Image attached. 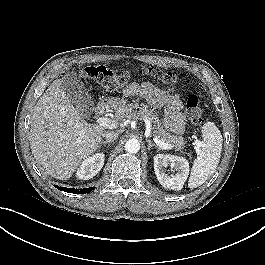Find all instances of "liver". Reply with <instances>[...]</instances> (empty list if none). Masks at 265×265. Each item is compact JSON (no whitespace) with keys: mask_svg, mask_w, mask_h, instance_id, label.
Instances as JSON below:
<instances>
[{"mask_svg":"<svg viewBox=\"0 0 265 265\" xmlns=\"http://www.w3.org/2000/svg\"><path fill=\"white\" fill-rule=\"evenodd\" d=\"M122 102H117L119 108ZM103 126L85 122L54 80L34 109L29 141L34 158L50 176L68 180L102 142Z\"/></svg>","mask_w":265,"mask_h":265,"instance_id":"obj_1","label":"liver"}]
</instances>
